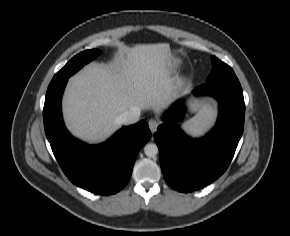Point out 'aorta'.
Instances as JSON below:
<instances>
[{"label": "aorta", "mask_w": 290, "mask_h": 236, "mask_svg": "<svg viewBox=\"0 0 290 236\" xmlns=\"http://www.w3.org/2000/svg\"><path fill=\"white\" fill-rule=\"evenodd\" d=\"M158 152V147L154 143H148L144 146V153L148 157H154L158 154Z\"/></svg>", "instance_id": "obj_1"}]
</instances>
